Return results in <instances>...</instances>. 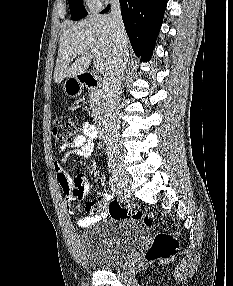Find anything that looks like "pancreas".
<instances>
[{
    "label": "pancreas",
    "mask_w": 233,
    "mask_h": 286,
    "mask_svg": "<svg viewBox=\"0 0 233 286\" xmlns=\"http://www.w3.org/2000/svg\"><path fill=\"white\" fill-rule=\"evenodd\" d=\"M89 104L92 117L94 118V120H96L101 115L102 111L103 93L101 90L93 89L90 91Z\"/></svg>",
    "instance_id": "1"
}]
</instances>
